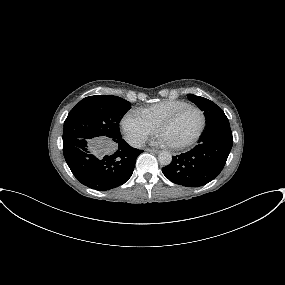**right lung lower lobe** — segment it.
<instances>
[{
	"instance_id": "obj_1",
	"label": "right lung lower lobe",
	"mask_w": 285,
	"mask_h": 285,
	"mask_svg": "<svg viewBox=\"0 0 285 285\" xmlns=\"http://www.w3.org/2000/svg\"><path fill=\"white\" fill-rule=\"evenodd\" d=\"M116 151L106 154L96 140L74 139L63 142V154L73 175L84 185L107 191L124 184L132 175L136 158L143 150L114 139Z\"/></svg>"
}]
</instances>
